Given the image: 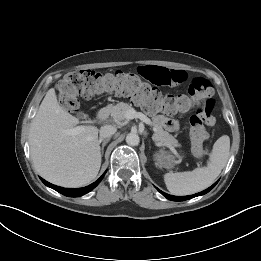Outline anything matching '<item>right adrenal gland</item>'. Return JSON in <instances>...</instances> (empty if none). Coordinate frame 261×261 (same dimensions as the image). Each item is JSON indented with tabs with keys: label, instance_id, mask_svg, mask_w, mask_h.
I'll use <instances>...</instances> for the list:
<instances>
[{
	"label": "right adrenal gland",
	"instance_id": "1",
	"mask_svg": "<svg viewBox=\"0 0 261 261\" xmlns=\"http://www.w3.org/2000/svg\"><path fill=\"white\" fill-rule=\"evenodd\" d=\"M99 142L101 143L102 140H99ZM109 142V139H105L103 142H102V147H101V155H103L104 153V147L106 146V144Z\"/></svg>",
	"mask_w": 261,
	"mask_h": 261
}]
</instances>
